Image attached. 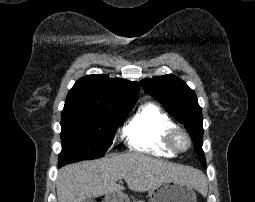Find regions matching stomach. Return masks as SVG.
<instances>
[{"label":"stomach","instance_id":"0dacf381","mask_svg":"<svg viewBox=\"0 0 255 202\" xmlns=\"http://www.w3.org/2000/svg\"><path fill=\"white\" fill-rule=\"evenodd\" d=\"M150 202H197L196 193L191 186L179 181H168L150 189ZM105 202H129L127 196L113 194Z\"/></svg>","mask_w":255,"mask_h":202}]
</instances>
